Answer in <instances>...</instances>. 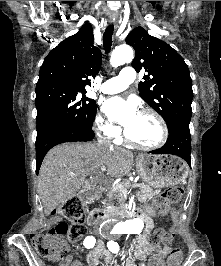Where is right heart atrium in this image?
I'll list each match as a JSON object with an SVG mask.
<instances>
[{
  "label": "right heart atrium",
  "instance_id": "right-heart-atrium-1",
  "mask_svg": "<svg viewBox=\"0 0 221 266\" xmlns=\"http://www.w3.org/2000/svg\"><path fill=\"white\" fill-rule=\"evenodd\" d=\"M94 131L103 139H116L120 136V128L113 125L100 113L95 116L94 119Z\"/></svg>",
  "mask_w": 221,
  "mask_h": 266
}]
</instances>
